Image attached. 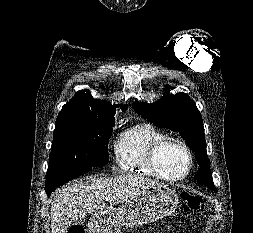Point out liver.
Segmentation results:
<instances>
[{
  "label": "liver",
  "instance_id": "1",
  "mask_svg": "<svg viewBox=\"0 0 253 233\" xmlns=\"http://www.w3.org/2000/svg\"><path fill=\"white\" fill-rule=\"evenodd\" d=\"M150 178L126 174L114 178L87 177L62 188L51 203V233H66L86 214L103 213L105 197L111 196V206L127 202L147 189L160 186Z\"/></svg>",
  "mask_w": 253,
  "mask_h": 233
}]
</instances>
